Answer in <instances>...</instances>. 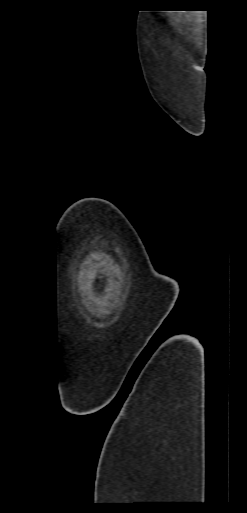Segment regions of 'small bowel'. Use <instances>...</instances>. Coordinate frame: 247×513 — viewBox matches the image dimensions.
I'll return each mask as SVG.
<instances>
[{
  "instance_id": "obj_1",
  "label": "small bowel",
  "mask_w": 247,
  "mask_h": 513,
  "mask_svg": "<svg viewBox=\"0 0 247 513\" xmlns=\"http://www.w3.org/2000/svg\"><path fill=\"white\" fill-rule=\"evenodd\" d=\"M78 289L82 292H86L90 286V277L86 271H81L77 277Z\"/></svg>"
}]
</instances>
